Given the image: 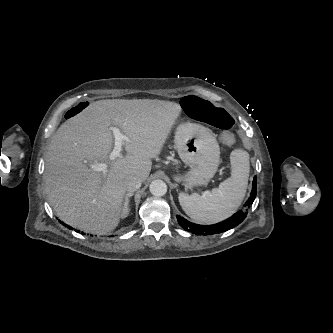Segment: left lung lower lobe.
Segmentation results:
<instances>
[{
	"label": "left lung lower lobe",
	"mask_w": 333,
	"mask_h": 333,
	"mask_svg": "<svg viewBox=\"0 0 333 333\" xmlns=\"http://www.w3.org/2000/svg\"><path fill=\"white\" fill-rule=\"evenodd\" d=\"M256 191H257V178L254 177L252 184V191L245 206L249 207L250 205L253 204V201L256 197ZM246 216L247 212L245 210H240L229 219L215 225H198L189 222L188 220L184 219L179 215H177V220L179 225L188 232H191L196 235H213L226 232L236 227L245 219Z\"/></svg>",
	"instance_id": "left-lung-lower-lobe-1"
}]
</instances>
